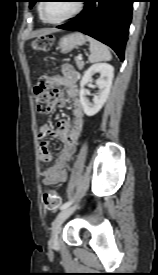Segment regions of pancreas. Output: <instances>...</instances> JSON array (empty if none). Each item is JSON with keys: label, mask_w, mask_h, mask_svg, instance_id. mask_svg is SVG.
Here are the masks:
<instances>
[{"label": "pancreas", "mask_w": 158, "mask_h": 275, "mask_svg": "<svg viewBox=\"0 0 158 275\" xmlns=\"http://www.w3.org/2000/svg\"><path fill=\"white\" fill-rule=\"evenodd\" d=\"M76 61V65L78 67L79 70H82L84 67V62L82 60H78L77 58L75 59Z\"/></svg>", "instance_id": "1"}]
</instances>
